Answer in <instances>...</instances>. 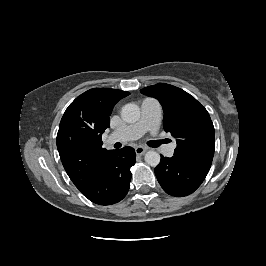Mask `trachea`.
Instances as JSON below:
<instances>
[{
  "label": "trachea",
  "mask_w": 266,
  "mask_h": 266,
  "mask_svg": "<svg viewBox=\"0 0 266 266\" xmlns=\"http://www.w3.org/2000/svg\"><path fill=\"white\" fill-rule=\"evenodd\" d=\"M162 143H166V140L149 141L148 145L151 147H158Z\"/></svg>",
  "instance_id": "obj_1"
}]
</instances>
